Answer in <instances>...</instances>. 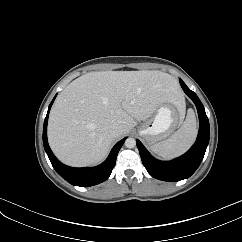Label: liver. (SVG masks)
I'll list each match as a JSON object with an SVG mask.
<instances>
[{
    "mask_svg": "<svg viewBox=\"0 0 242 242\" xmlns=\"http://www.w3.org/2000/svg\"><path fill=\"white\" fill-rule=\"evenodd\" d=\"M185 112L177 81L161 71L90 72L72 81L57 97L49 116L48 141L63 163L81 167L102 162L115 139L164 104ZM122 128L119 136L110 127Z\"/></svg>",
    "mask_w": 242,
    "mask_h": 242,
    "instance_id": "1",
    "label": "liver"
}]
</instances>
